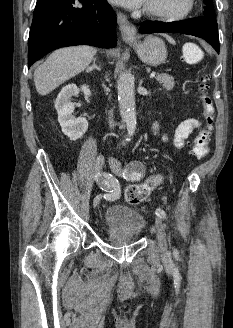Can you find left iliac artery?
I'll return each mask as SVG.
<instances>
[{"mask_svg":"<svg viewBox=\"0 0 233 328\" xmlns=\"http://www.w3.org/2000/svg\"><path fill=\"white\" fill-rule=\"evenodd\" d=\"M140 178H141V173H139V172H133L131 174L132 180H139ZM155 213L158 217H160L162 219H167V214L164 210L158 208V209H156Z\"/></svg>","mask_w":233,"mask_h":328,"instance_id":"obj_1","label":"left iliac artery"}]
</instances>
